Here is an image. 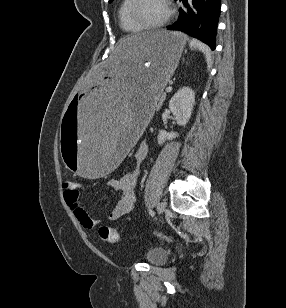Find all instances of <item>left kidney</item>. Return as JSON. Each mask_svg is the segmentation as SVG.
I'll use <instances>...</instances> for the list:
<instances>
[{"instance_id": "obj_1", "label": "left kidney", "mask_w": 286, "mask_h": 308, "mask_svg": "<svg viewBox=\"0 0 286 308\" xmlns=\"http://www.w3.org/2000/svg\"><path fill=\"white\" fill-rule=\"evenodd\" d=\"M195 104V93L189 87L181 88L169 101V109L172 112L176 122L180 126L188 123ZM178 137L177 132H166L160 130L158 133V144H163L166 140H172Z\"/></svg>"}]
</instances>
